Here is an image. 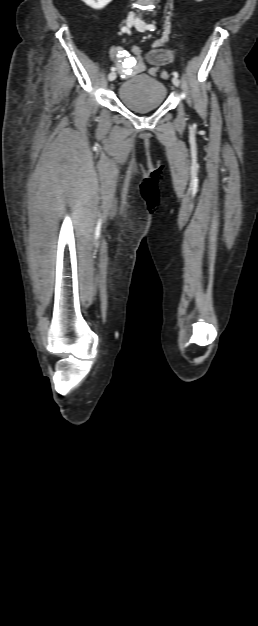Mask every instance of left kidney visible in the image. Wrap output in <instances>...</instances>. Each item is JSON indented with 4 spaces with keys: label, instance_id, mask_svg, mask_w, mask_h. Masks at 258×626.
<instances>
[{
    "label": "left kidney",
    "instance_id": "1",
    "mask_svg": "<svg viewBox=\"0 0 258 626\" xmlns=\"http://www.w3.org/2000/svg\"><path fill=\"white\" fill-rule=\"evenodd\" d=\"M195 1H197V2H201V1H203V0H195Z\"/></svg>",
    "mask_w": 258,
    "mask_h": 626
}]
</instances>
